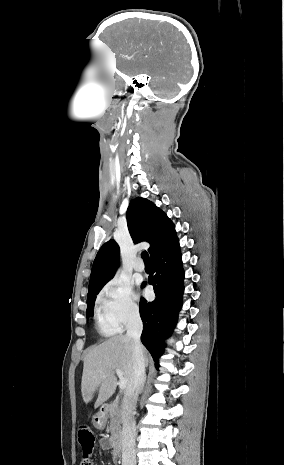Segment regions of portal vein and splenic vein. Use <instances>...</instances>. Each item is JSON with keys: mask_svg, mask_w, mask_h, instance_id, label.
Segmentation results:
<instances>
[{"mask_svg": "<svg viewBox=\"0 0 284 465\" xmlns=\"http://www.w3.org/2000/svg\"><path fill=\"white\" fill-rule=\"evenodd\" d=\"M115 373H116L117 377H119V379H120V383H119L120 389H126L127 381H126L122 371H120V369H115Z\"/></svg>", "mask_w": 284, "mask_h": 465, "instance_id": "1", "label": "portal vein and splenic vein"}]
</instances>
